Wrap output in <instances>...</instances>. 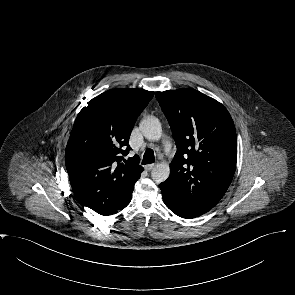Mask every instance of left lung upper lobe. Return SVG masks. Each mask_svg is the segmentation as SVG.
<instances>
[{
  "instance_id": "left-lung-upper-lobe-1",
  "label": "left lung upper lobe",
  "mask_w": 295,
  "mask_h": 295,
  "mask_svg": "<svg viewBox=\"0 0 295 295\" xmlns=\"http://www.w3.org/2000/svg\"><path fill=\"white\" fill-rule=\"evenodd\" d=\"M177 146L163 182L189 210L202 215L227 191L236 168L237 138L227 109L192 88L156 93Z\"/></svg>"
}]
</instances>
